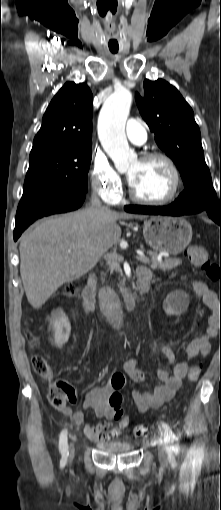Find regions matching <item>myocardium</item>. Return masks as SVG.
<instances>
[{
	"label": "myocardium",
	"mask_w": 221,
	"mask_h": 510,
	"mask_svg": "<svg viewBox=\"0 0 221 510\" xmlns=\"http://www.w3.org/2000/svg\"><path fill=\"white\" fill-rule=\"evenodd\" d=\"M156 159L164 161L172 172L173 186L170 193L160 199L143 198L134 191L131 183L129 182L128 193L132 201L148 206H162L172 202L178 196L182 185L181 174L176 163L169 155L163 152H147L143 154L139 160L142 162H147Z\"/></svg>",
	"instance_id": "1"
}]
</instances>
